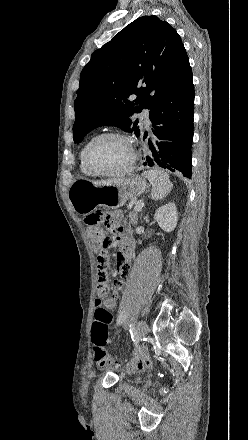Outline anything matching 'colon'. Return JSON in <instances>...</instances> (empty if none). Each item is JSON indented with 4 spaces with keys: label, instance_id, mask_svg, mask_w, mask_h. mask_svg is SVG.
<instances>
[{
    "label": "colon",
    "instance_id": "obj_1",
    "mask_svg": "<svg viewBox=\"0 0 248 440\" xmlns=\"http://www.w3.org/2000/svg\"><path fill=\"white\" fill-rule=\"evenodd\" d=\"M85 221L89 225V234L97 251V257H108L109 250L114 246V240L100 227V224L104 221L103 212L100 210L93 211L87 215ZM95 306V319L92 326L95 360L99 365H105L109 361V357L104 346L108 342L112 315L101 303L96 302Z\"/></svg>",
    "mask_w": 248,
    "mask_h": 440
}]
</instances>
